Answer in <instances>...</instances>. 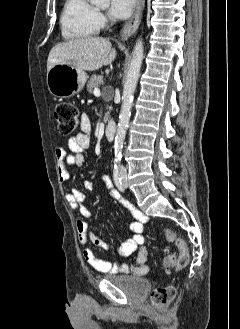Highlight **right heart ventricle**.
Returning a JSON list of instances; mask_svg holds the SVG:
<instances>
[{"label": "right heart ventricle", "mask_w": 240, "mask_h": 329, "mask_svg": "<svg viewBox=\"0 0 240 329\" xmlns=\"http://www.w3.org/2000/svg\"><path fill=\"white\" fill-rule=\"evenodd\" d=\"M61 34L65 40L76 41L98 33V11L89 0H65L60 15Z\"/></svg>", "instance_id": "e07e8e85"}]
</instances>
